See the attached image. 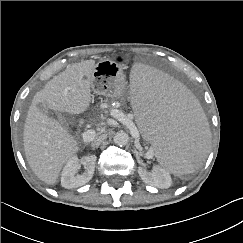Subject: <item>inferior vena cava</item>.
<instances>
[{
    "instance_id": "obj_1",
    "label": "inferior vena cava",
    "mask_w": 243,
    "mask_h": 243,
    "mask_svg": "<svg viewBox=\"0 0 243 243\" xmlns=\"http://www.w3.org/2000/svg\"><path fill=\"white\" fill-rule=\"evenodd\" d=\"M104 139H106V135L105 134L99 136L98 138H96L95 140H93L92 146L93 147H98L103 142Z\"/></svg>"
}]
</instances>
